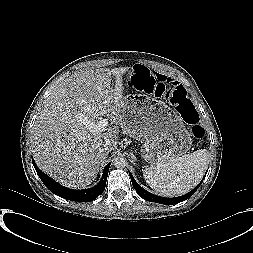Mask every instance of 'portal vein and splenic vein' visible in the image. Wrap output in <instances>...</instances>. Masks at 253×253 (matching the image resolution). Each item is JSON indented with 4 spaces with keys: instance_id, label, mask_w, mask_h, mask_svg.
<instances>
[{
    "instance_id": "1",
    "label": "portal vein and splenic vein",
    "mask_w": 253,
    "mask_h": 253,
    "mask_svg": "<svg viewBox=\"0 0 253 253\" xmlns=\"http://www.w3.org/2000/svg\"><path fill=\"white\" fill-rule=\"evenodd\" d=\"M83 121L91 132H104L108 126L107 119H101L98 122L90 121L88 119H84Z\"/></svg>"
}]
</instances>
